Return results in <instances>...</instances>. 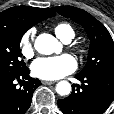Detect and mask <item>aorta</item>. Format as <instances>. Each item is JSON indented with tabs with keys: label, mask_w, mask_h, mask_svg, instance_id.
I'll list each match as a JSON object with an SVG mask.
<instances>
[{
	"label": "aorta",
	"mask_w": 114,
	"mask_h": 114,
	"mask_svg": "<svg viewBox=\"0 0 114 114\" xmlns=\"http://www.w3.org/2000/svg\"><path fill=\"white\" fill-rule=\"evenodd\" d=\"M35 49L41 54H51L60 48V44L50 34H40L34 43ZM56 91L59 95H68L71 92V85L67 81H60L56 85Z\"/></svg>",
	"instance_id": "762f6f07"
}]
</instances>
